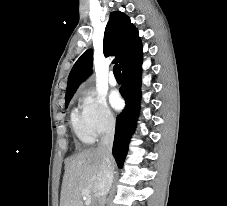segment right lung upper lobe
Here are the masks:
<instances>
[{"label":"right lung upper lobe","mask_w":227,"mask_h":206,"mask_svg":"<svg viewBox=\"0 0 227 206\" xmlns=\"http://www.w3.org/2000/svg\"><path fill=\"white\" fill-rule=\"evenodd\" d=\"M106 57L116 56L113 63H119L122 71L142 59V43L138 30L130 18L122 12H112L106 25L103 41ZM92 50L84 52L73 66L66 90V98L72 97L81 84L92 72Z\"/></svg>","instance_id":"obj_1"}]
</instances>
